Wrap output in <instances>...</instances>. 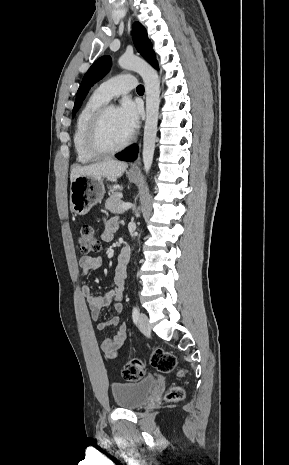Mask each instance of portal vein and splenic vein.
<instances>
[{"label": "portal vein and splenic vein", "instance_id": "obj_1", "mask_svg": "<svg viewBox=\"0 0 289 465\" xmlns=\"http://www.w3.org/2000/svg\"><path fill=\"white\" fill-rule=\"evenodd\" d=\"M132 206H133V205H132L131 203L126 202V203H123V204H122L121 208H122L123 210H128V209L131 208Z\"/></svg>", "mask_w": 289, "mask_h": 465}]
</instances>
